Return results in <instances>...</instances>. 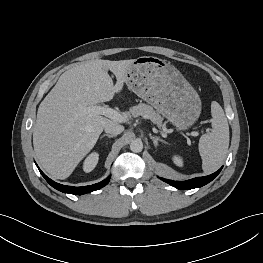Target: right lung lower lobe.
I'll use <instances>...</instances> for the list:
<instances>
[{
    "label": "right lung lower lobe",
    "mask_w": 263,
    "mask_h": 263,
    "mask_svg": "<svg viewBox=\"0 0 263 263\" xmlns=\"http://www.w3.org/2000/svg\"><path fill=\"white\" fill-rule=\"evenodd\" d=\"M39 171L42 174V176L46 179V181L52 187H54L55 189H57L61 192L69 193V194H75V195H82L85 193H89V192L101 189L102 187L107 185L108 182L110 181V176H109L105 180H103L99 183L93 184V185H89V186H83V187L66 186V185H62V184H58V183L54 182L53 180L48 178L40 169H39Z\"/></svg>",
    "instance_id": "1"
}]
</instances>
